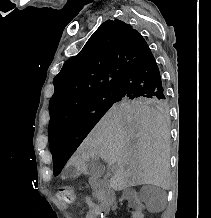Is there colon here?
<instances>
[{
    "label": "colon",
    "mask_w": 211,
    "mask_h": 218,
    "mask_svg": "<svg viewBox=\"0 0 211 218\" xmlns=\"http://www.w3.org/2000/svg\"><path fill=\"white\" fill-rule=\"evenodd\" d=\"M57 198L64 204H71L75 199L73 189L69 185H64L59 188Z\"/></svg>",
    "instance_id": "colon-1"
}]
</instances>
